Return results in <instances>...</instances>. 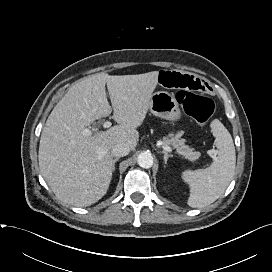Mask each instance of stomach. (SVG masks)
<instances>
[{"label":"stomach","mask_w":272,"mask_h":272,"mask_svg":"<svg viewBox=\"0 0 272 272\" xmlns=\"http://www.w3.org/2000/svg\"><path fill=\"white\" fill-rule=\"evenodd\" d=\"M150 112L160 118L176 121L180 119L181 112L175 97L166 91H158L152 94Z\"/></svg>","instance_id":"1"}]
</instances>
